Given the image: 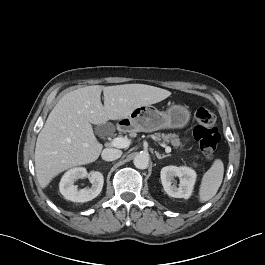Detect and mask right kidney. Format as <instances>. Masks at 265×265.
<instances>
[{
	"instance_id": "obj_1",
	"label": "right kidney",
	"mask_w": 265,
	"mask_h": 265,
	"mask_svg": "<svg viewBox=\"0 0 265 265\" xmlns=\"http://www.w3.org/2000/svg\"><path fill=\"white\" fill-rule=\"evenodd\" d=\"M87 176L92 186L90 188L78 190L77 186L74 185L75 181L83 179ZM103 184L104 177L102 173L95 171L88 174L84 167H77L68 170L63 175L59 184V189L65 199L73 202L84 203L97 197L102 190Z\"/></svg>"
}]
</instances>
